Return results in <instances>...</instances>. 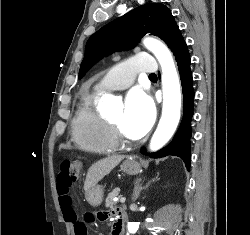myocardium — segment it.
I'll use <instances>...</instances> for the list:
<instances>
[{"mask_svg":"<svg viewBox=\"0 0 250 235\" xmlns=\"http://www.w3.org/2000/svg\"><path fill=\"white\" fill-rule=\"evenodd\" d=\"M106 121L110 125V127H111V129H112V131L114 133V136L116 137V139H117V141L119 143L128 144V143H132L133 142V140L131 138H128L124 134L122 128L119 125H117L116 123H114V122H112L110 120H106Z\"/></svg>","mask_w":250,"mask_h":235,"instance_id":"f54148a6","label":"myocardium"}]
</instances>
